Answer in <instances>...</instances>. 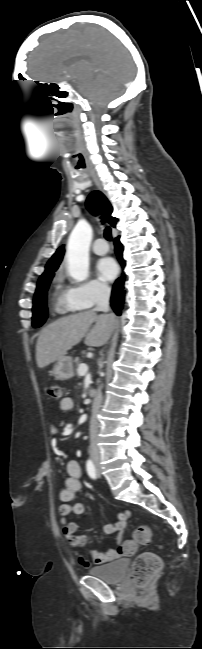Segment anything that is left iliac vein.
Returning a JSON list of instances; mask_svg holds the SVG:
<instances>
[{
  "label": "left iliac vein",
  "instance_id": "left-iliac-vein-1",
  "mask_svg": "<svg viewBox=\"0 0 202 649\" xmlns=\"http://www.w3.org/2000/svg\"><path fill=\"white\" fill-rule=\"evenodd\" d=\"M97 475H98V477L101 476V472H100V469H99V468H97Z\"/></svg>",
  "mask_w": 202,
  "mask_h": 649
}]
</instances>
